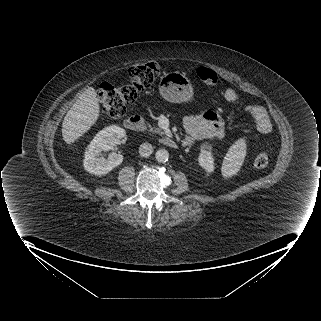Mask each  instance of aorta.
Masks as SVG:
<instances>
[{
    "instance_id": "1",
    "label": "aorta",
    "mask_w": 321,
    "mask_h": 321,
    "mask_svg": "<svg viewBox=\"0 0 321 321\" xmlns=\"http://www.w3.org/2000/svg\"><path fill=\"white\" fill-rule=\"evenodd\" d=\"M155 158L158 162H166L169 158V152L166 149H159L155 153Z\"/></svg>"
}]
</instances>
